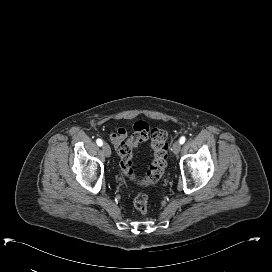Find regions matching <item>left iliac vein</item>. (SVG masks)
I'll return each instance as SVG.
<instances>
[{"label": "left iliac vein", "mask_w": 272, "mask_h": 272, "mask_svg": "<svg viewBox=\"0 0 272 272\" xmlns=\"http://www.w3.org/2000/svg\"><path fill=\"white\" fill-rule=\"evenodd\" d=\"M172 149H173V153H174L175 155H177V154L180 152V150H181V144H180V142H179V141H176V142L173 144Z\"/></svg>", "instance_id": "obj_1"}]
</instances>
